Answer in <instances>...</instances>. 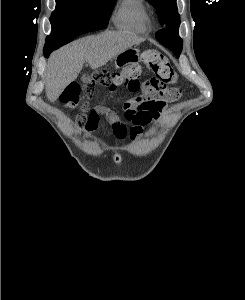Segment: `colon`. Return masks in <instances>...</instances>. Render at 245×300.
I'll use <instances>...</instances> for the list:
<instances>
[{
    "instance_id": "colon-1",
    "label": "colon",
    "mask_w": 245,
    "mask_h": 300,
    "mask_svg": "<svg viewBox=\"0 0 245 300\" xmlns=\"http://www.w3.org/2000/svg\"><path fill=\"white\" fill-rule=\"evenodd\" d=\"M144 64L152 70L154 77L148 81L155 97L164 101H175L180 97V89L173 85L178 76L168 59L157 50H147L143 53ZM141 67L132 64L120 71L109 72L108 70H97L83 78V86L74 82L67 86L61 96V101L69 108H74L79 103L81 91L92 94L98 87H109L115 91L118 87H126L134 92L139 89Z\"/></svg>"
}]
</instances>
